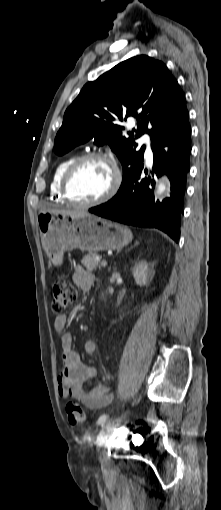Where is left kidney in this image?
<instances>
[{
    "instance_id": "5707ae66",
    "label": "left kidney",
    "mask_w": 221,
    "mask_h": 510,
    "mask_svg": "<svg viewBox=\"0 0 221 510\" xmlns=\"http://www.w3.org/2000/svg\"><path fill=\"white\" fill-rule=\"evenodd\" d=\"M148 271L149 264L147 261L142 260L139 263L135 264L132 269V273L137 285L143 286L146 285L148 280Z\"/></svg>"
}]
</instances>
